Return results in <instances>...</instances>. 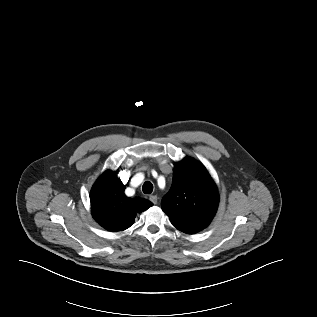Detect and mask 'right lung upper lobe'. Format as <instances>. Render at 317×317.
Here are the masks:
<instances>
[{"label":"right lung upper lobe","instance_id":"obj_1","mask_svg":"<svg viewBox=\"0 0 317 317\" xmlns=\"http://www.w3.org/2000/svg\"><path fill=\"white\" fill-rule=\"evenodd\" d=\"M126 186L114 173L105 172L94 184L90 201L96 221L109 231H123L135 221L137 212L147 210L152 203L124 194Z\"/></svg>","mask_w":317,"mask_h":317}]
</instances>
